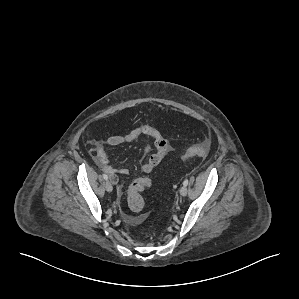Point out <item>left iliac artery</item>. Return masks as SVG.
<instances>
[{"label": "left iliac artery", "mask_w": 299, "mask_h": 299, "mask_svg": "<svg viewBox=\"0 0 299 299\" xmlns=\"http://www.w3.org/2000/svg\"><path fill=\"white\" fill-rule=\"evenodd\" d=\"M183 185H184V186H187V185H188V179H185V180H184Z\"/></svg>", "instance_id": "1"}]
</instances>
